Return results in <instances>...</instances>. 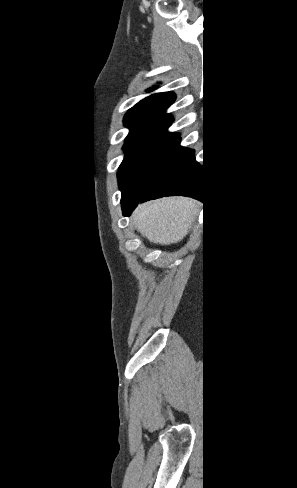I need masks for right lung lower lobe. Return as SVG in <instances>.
<instances>
[{
  "label": "right lung lower lobe",
  "instance_id": "obj_1",
  "mask_svg": "<svg viewBox=\"0 0 297 488\" xmlns=\"http://www.w3.org/2000/svg\"><path fill=\"white\" fill-rule=\"evenodd\" d=\"M175 134L165 150L151 163L128 196L121 199L123 215L129 216L139 202L163 196L183 195L203 199L201 166L194 150L180 146Z\"/></svg>",
  "mask_w": 297,
  "mask_h": 488
}]
</instances>
